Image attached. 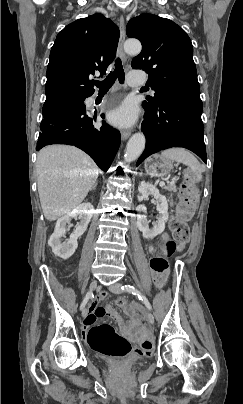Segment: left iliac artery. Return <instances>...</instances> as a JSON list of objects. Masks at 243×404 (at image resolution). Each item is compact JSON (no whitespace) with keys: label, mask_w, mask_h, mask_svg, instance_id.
Masks as SVG:
<instances>
[{"label":"left iliac artery","mask_w":243,"mask_h":404,"mask_svg":"<svg viewBox=\"0 0 243 404\" xmlns=\"http://www.w3.org/2000/svg\"><path fill=\"white\" fill-rule=\"evenodd\" d=\"M121 289L124 290V291H126V292L132 293L133 295H136V296L145 304V306H146L149 310L152 309L149 300H148L143 294H141V292H140L138 289H136L134 286H131V285H123V286L121 287Z\"/></svg>","instance_id":"left-iliac-artery-1"}]
</instances>
